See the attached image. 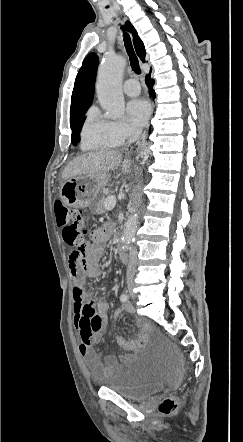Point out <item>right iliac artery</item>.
Masks as SVG:
<instances>
[{"mask_svg":"<svg viewBox=\"0 0 243 442\" xmlns=\"http://www.w3.org/2000/svg\"><path fill=\"white\" fill-rule=\"evenodd\" d=\"M120 300L122 302H127L128 301V295L127 294H122L121 297H120Z\"/></svg>","mask_w":243,"mask_h":442,"instance_id":"right-iliac-artery-1","label":"right iliac artery"}]
</instances>
